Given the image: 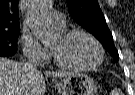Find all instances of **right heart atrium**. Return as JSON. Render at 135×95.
I'll list each match as a JSON object with an SVG mask.
<instances>
[{"label":"right heart atrium","instance_id":"d8ad5b80","mask_svg":"<svg viewBox=\"0 0 135 95\" xmlns=\"http://www.w3.org/2000/svg\"><path fill=\"white\" fill-rule=\"evenodd\" d=\"M21 44L24 55L29 59L46 60L49 58V52L30 34H23Z\"/></svg>","mask_w":135,"mask_h":95}]
</instances>
